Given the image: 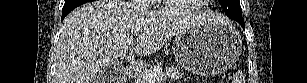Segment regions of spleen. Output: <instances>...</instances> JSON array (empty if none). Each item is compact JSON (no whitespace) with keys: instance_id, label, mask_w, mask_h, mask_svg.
<instances>
[{"instance_id":"spleen-1","label":"spleen","mask_w":307,"mask_h":83,"mask_svg":"<svg viewBox=\"0 0 307 83\" xmlns=\"http://www.w3.org/2000/svg\"><path fill=\"white\" fill-rule=\"evenodd\" d=\"M232 83H245V76L241 70L235 73Z\"/></svg>"}]
</instances>
